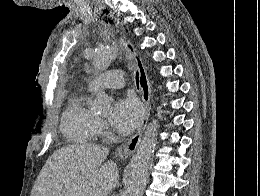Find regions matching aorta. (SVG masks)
I'll use <instances>...</instances> for the list:
<instances>
[{
	"mask_svg": "<svg viewBox=\"0 0 260 196\" xmlns=\"http://www.w3.org/2000/svg\"><path fill=\"white\" fill-rule=\"evenodd\" d=\"M118 50L115 46L100 47L95 50L93 66L98 72L105 71L117 56ZM97 107L101 111H108L111 98L106 93H99L97 96ZM158 124L151 122L139 144V147L132 157L129 167V186L127 196H142L149 171L152 166L153 153L157 142Z\"/></svg>",
	"mask_w": 260,
	"mask_h": 196,
	"instance_id": "762f6f07",
	"label": "aorta"
}]
</instances>
